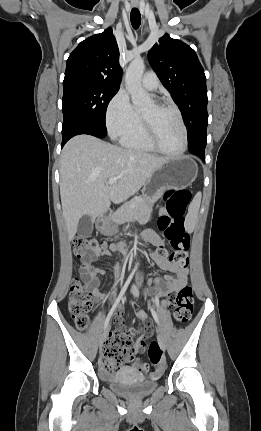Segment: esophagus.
<instances>
[{
  "label": "esophagus",
  "instance_id": "esophagus-1",
  "mask_svg": "<svg viewBox=\"0 0 261 431\" xmlns=\"http://www.w3.org/2000/svg\"><path fill=\"white\" fill-rule=\"evenodd\" d=\"M133 5H134V6H137L138 4H137V3H133Z\"/></svg>",
  "mask_w": 261,
  "mask_h": 431
}]
</instances>
